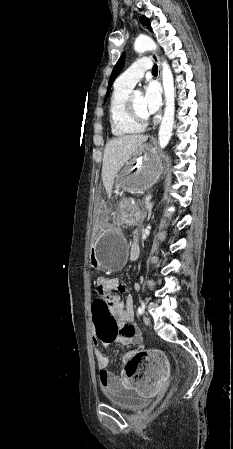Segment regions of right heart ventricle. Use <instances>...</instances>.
I'll return each instance as SVG.
<instances>
[{
    "mask_svg": "<svg viewBox=\"0 0 233 449\" xmlns=\"http://www.w3.org/2000/svg\"><path fill=\"white\" fill-rule=\"evenodd\" d=\"M130 94L131 88L115 84L109 102V120L111 132L116 137L134 135L144 130V126L131 120L126 112V100Z\"/></svg>",
    "mask_w": 233,
    "mask_h": 449,
    "instance_id": "right-heart-ventricle-1",
    "label": "right heart ventricle"
}]
</instances>
